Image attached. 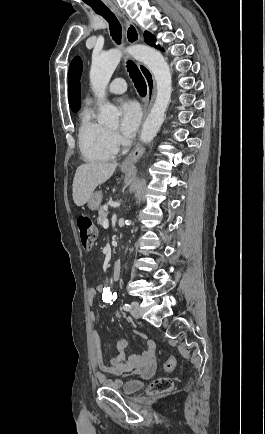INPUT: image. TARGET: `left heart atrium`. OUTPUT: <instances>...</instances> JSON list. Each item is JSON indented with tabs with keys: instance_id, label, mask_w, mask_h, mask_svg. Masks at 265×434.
<instances>
[{
	"instance_id": "left-heart-atrium-1",
	"label": "left heart atrium",
	"mask_w": 265,
	"mask_h": 434,
	"mask_svg": "<svg viewBox=\"0 0 265 434\" xmlns=\"http://www.w3.org/2000/svg\"><path fill=\"white\" fill-rule=\"evenodd\" d=\"M120 130L126 138L135 135L141 118L142 110L138 102L134 100H125L120 104Z\"/></svg>"
}]
</instances>
